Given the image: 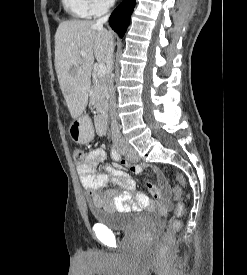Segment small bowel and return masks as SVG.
I'll list each match as a JSON object with an SVG mask.
<instances>
[{"label":"small bowel","instance_id":"small-bowel-1","mask_svg":"<svg viewBox=\"0 0 247 275\" xmlns=\"http://www.w3.org/2000/svg\"><path fill=\"white\" fill-rule=\"evenodd\" d=\"M105 159L104 149L94 148L77 167L80 182L88 191L92 204L112 212H126L137 206L150 207L151 200L145 194L136 191L135 182L126 171L109 165L102 171L96 170ZM144 170L143 165L131 167L134 173H141ZM156 173L159 185L150 183L148 189L150 194L158 200L159 207L167 210L172 206L169 185L158 170ZM109 184H113L115 188L105 190Z\"/></svg>","mask_w":247,"mask_h":275}]
</instances>
